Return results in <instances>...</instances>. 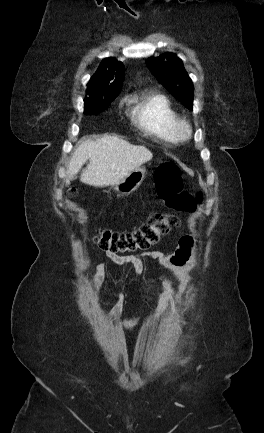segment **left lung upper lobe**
Here are the masks:
<instances>
[{"label": "left lung upper lobe", "mask_w": 264, "mask_h": 433, "mask_svg": "<svg viewBox=\"0 0 264 433\" xmlns=\"http://www.w3.org/2000/svg\"><path fill=\"white\" fill-rule=\"evenodd\" d=\"M146 64L157 80L183 105L192 109L193 84L182 61L174 54L148 58Z\"/></svg>", "instance_id": "1"}]
</instances>
